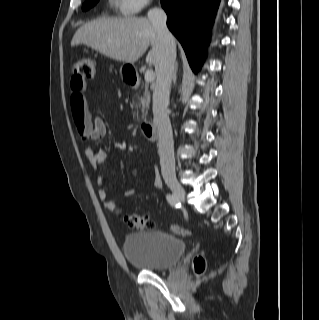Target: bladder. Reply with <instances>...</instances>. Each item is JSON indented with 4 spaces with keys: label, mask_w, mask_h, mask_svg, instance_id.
Wrapping results in <instances>:
<instances>
[{
    "label": "bladder",
    "mask_w": 319,
    "mask_h": 320,
    "mask_svg": "<svg viewBox=\"0 0 319 320\" xmlns=\"http://www.w3.org/2000/svg\"><path fill=\"white\" fill-rule=\"evenodd\" d=\"M185 250L186 243L181 237L160 230L127 235L123 245L124 255L131 265L156 272L177 266Z\"/></svg>",
    "instance_id": "bladder-1"
}]
</instances>
